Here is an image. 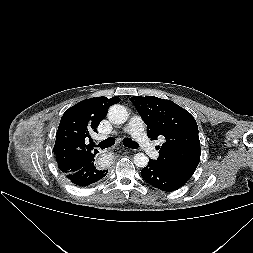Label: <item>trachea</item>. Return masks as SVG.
I'll list each match as a JSON object with an SVG mask.
<instances>
[{
    "label": "trachea",
    "instance_id": "3493384b",
    "mask_svg": "<svg viewBox=\"0 0 253 253\" xmlns=\"http://www.w3.org/2000/svg\"><path fill=\"white\" fill-rule=\"evenodd\" d=\"M114 143H115L114 138L110 137V138H107V139L101 141L98 144V147H100L101 149H105V148L111 147L112 145H114ZM123 144H124V146H126L128 148H132V149L138 148V144L130 138H125L123 140Z\"/></svg>",
    "mask_w": 253,
    "mask_h": 253
}]
</instances>
